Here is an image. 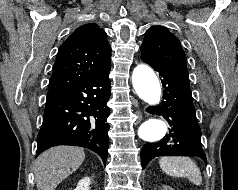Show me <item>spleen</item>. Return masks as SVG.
<instances>
[{
	"label": "spleen",
	"mask_w": 238,
	"mask_h": 190,
	"mask_svg": "<svg viewBox=\"0 0 238 190\" xmlns=\"http://www.w3.org/2000/svg\"><path fill=\"white\" fill-rule=\"evenodd\" d=\"M159 165L167 175L187 177L197 186L202 184L200 169L189 157H162Z\"/></svg>",
	"instance_id": "3e777b00"
}]
</instances>
